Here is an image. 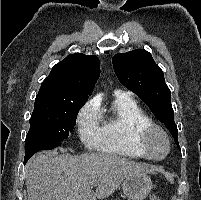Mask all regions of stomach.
Returning a JSON list of instances; mask_svg holds the SVG:
<instances>
[{"mask_svg": "<svg viewBox=\"0 0 201 200\" xmlns=\"http://www.w3.org/2000/svg\"><path fill=\"white\" fill-rule=\"evenodd\" d=\"M153 183L147 174L132 175L124 179L122 189L131 200H143L151 191Z\"/></svg>", "mask_w": 201, "mask_h": 200, "instance_id": "stomach-1", "label": "stomach"}]
</instances>
